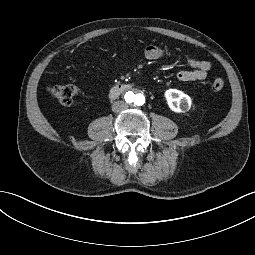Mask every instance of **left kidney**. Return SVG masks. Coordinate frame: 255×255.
<instances>
[{"label":"left kidney","mask_w":255,"mask_h":255,"mask_svg":"<svg viewBox=\"0 0 255 255\" xmlns=\"http://www.w3.org/2000/svg\"><path fill=\"white\" fill-rule=\"evenodd\" d=\"M165 97L174 112H185L191 107V99L180 90L169 89L165 92Z\"/></svg>","instance_id":"1"}]
</instances>
